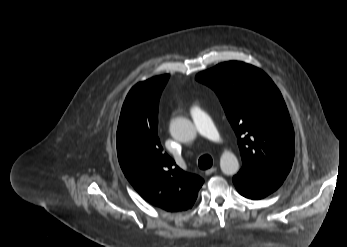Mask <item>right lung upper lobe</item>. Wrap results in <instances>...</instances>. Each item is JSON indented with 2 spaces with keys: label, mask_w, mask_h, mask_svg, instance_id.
Returning <instances> with one entry per match:
<instances>
[{
  "label": "right lung upper lobe",
  "mask_w": 347,
  "mask_h": 247,
  "mask_svg": "<svg viewBox=\"0 0 347 247\" xmlns=\"http://www.w3.org/2000/svg\"><path fill=\"white\" fill-rule=\"evenodd\" d=\"M168 78L156 76L130 90L118 123L117 154L135 190L151 204L173 212L191 208L204 181L176 166L160 144L158 104Z\"/></svg>",
  "instance_id": "1"
}]
</instances>
